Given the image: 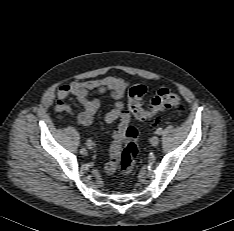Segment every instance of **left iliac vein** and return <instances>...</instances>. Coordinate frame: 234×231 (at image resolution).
I'll list each match as a JSON object with an SVG mask.
<instances>
[{
  "mask_svg": "<svg viewBox=\"0 0 234 231\" xmlns=\"http://www.w3.org/2000/svg\"><path fill=\"white\" fill-rule=\"evenodd\" d=\"M150 143L152 146H157L159 144V138L157 136L151 137Z\"/></svg>",
  "mask_w": 234,
  "mask_h": 231,
  "instance_id": "obj_1",
  "label": "left iliac vein"
}]
</instances>
